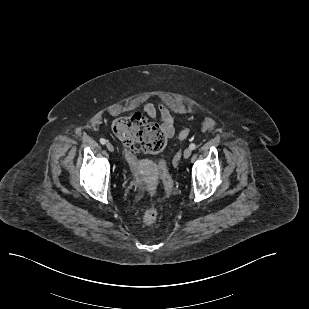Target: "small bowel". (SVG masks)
Segmentation results:
<instances>
[{
  "mask_svg": "<svg viewBox=\"0 0 309 309\" xmlns=\"http://www.w3.org/2000/svg\"><path fill=\"white\" fill-rule=\"evenodd\" d=\"M143 111L151 119L158 118L161 130L167 137L174 136L175 116L164 102H160L158 105H155L151 102H147L143 106ZM128 160L131 164L133 165L136 164V158L133 154H128Z\"/></svg>",
  "mask_w": 309,
  "mask_h": 309,
  "instance_id": "small-bowel-1",
  "label": "small bowel"
}]
</instances>
